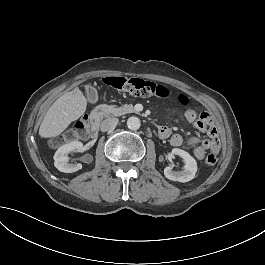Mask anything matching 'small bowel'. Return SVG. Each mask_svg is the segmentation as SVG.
Returning <instances> with one entry per match:
<instances>
[{
  "instance_id": "small-bowel-1",
  "label": "small bowel",
  "mask_w": 265,
  "mask_h": 265,
  "mask_svg": "<svg viewBox=\"0 0 265 265\" xmlns=\"http://www.w3.org/2000/svg\"><path fill=\"white\" fill-rule=\"evenodd\" d=\"M202 113H207V112H202ZM186 119L189 122L194 123L196 128L199 129L200 131L207 132L209 139L200 140L196 137L185 138L180 134L173 133L172 129L169 128L168 126H161L159 128L158 131L159 136L162 139H169V142L173 147H183V146L191 147L193 149L194 155L199 160H204L208 151L218 152L220 148L219 139H218L217 129L212 120L211 115L209 121L206 124L208 128L206 126H201V124L199 123L200 116L199 118H197V113L195 110H188L186 112Z\"/></svg>"
}]
</instances>
